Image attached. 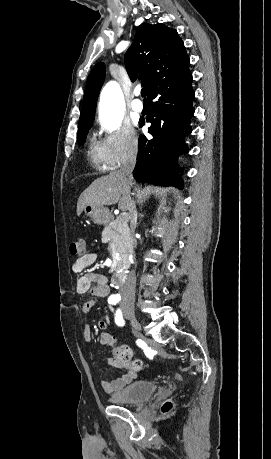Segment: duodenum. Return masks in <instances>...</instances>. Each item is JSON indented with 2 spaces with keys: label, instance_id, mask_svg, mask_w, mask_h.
<instances>
[{
  "label": "duodenum",
  "instance_id": "410a0bca",
  "mask_svg": "<svg viewBox=\"0 0 271 459\" xmlns=\"http://www.w3.org/2000/svg\"><path fill=\"white\" fill-rule=\"evenodd\" d=\"M126 273L123 271H117L112 276V282L116 286H122L126 281Z\"/></svg>",
  "mask_w": 271,
  "mask_h": 459
}]
</instances>
